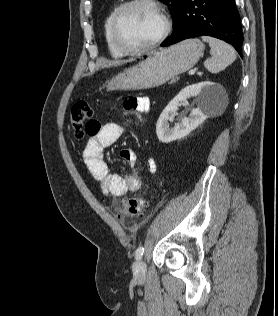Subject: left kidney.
Returning a JSON list of instances; mask_svg holds the SVG:
<instances>
[{
  "instance_id": "left-kidney-1",
  "label": "left kidney",
  "mask_w": 278,
  "mask_h": 316,
  "mask_svg": "<svg viewBox=\"0 0 278 316\" xmlns=\"http://www.w3.org/2000/svg\"><path fill=\"white\" fill-rule=\"evenodd\" d=\"M224 95V88L211 81L189 85L182 89L166 106L157 121L156 133L159 141L169 143L188 135L220 105ZM190 97H197L198 107L192 109L189 117L183 118L180 124L171 128L170 122L173 121L178 106L186 103Z\"/></svg>"
}]
</instances>
